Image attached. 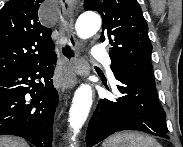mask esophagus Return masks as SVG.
<instances>
[{"instance_id": "obj_1", "label": "esophagus", "mask_w": 183, "mask_h": 147, "mask_svg": "<svg viewBox=\"0 0 183 147\" xmlns=\"http://www.w3.org/2000/svg\"><path fill=\"white\" fill-rule=\"evenodd\" d=\"M63 8V17L59 27L62 35L61 55L63 57L66 72L64 82L61 86V95L66 90L73 88L78 80V75L83 73V62L79 58L76 39L73 32V24L71 20V2L69 0L61 1Z\"/></svg>"}]
</instances>
